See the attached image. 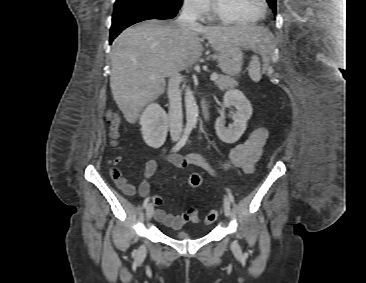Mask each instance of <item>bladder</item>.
Segmentation results:
<instances>
[{"label": "bladder", "mask_w": 366, "mask_h": 283, "mask_svg": "<svg viewBox=\"0 0 366 283\" xmlns=\"http://www.w3.org/2000/svg\"><path fill=\"white\" fill-rule=\"evenodd\" d=\"M174 237L178 238V239H190L192 238L193 236L189 235L188 233L186 232H178L176 234L173 235Z\"/></svg>", "instance_id": "31cf9c89"}]
</instances>
